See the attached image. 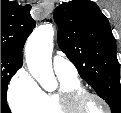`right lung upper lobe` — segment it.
<instances>
[{
	"label": "right lung upper lobe",
	"instance_id": "obj_1",
	"mask_svg": "<svg viewBox=\"0 0 121 113\" xmlns=\"http://www.w3.org/2000/svg\"><path fill=\"white\" fill-rule=\"evenodd\" d=\"M30 9V5L1 0V55L22 61L24 43L35 26Z\"/></svg>",
	"mask_w": 121,
	"mask_h": 113
}]
</instances>
